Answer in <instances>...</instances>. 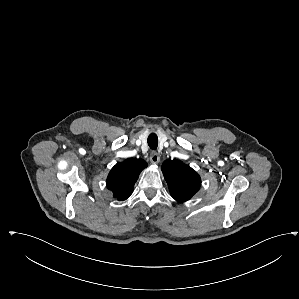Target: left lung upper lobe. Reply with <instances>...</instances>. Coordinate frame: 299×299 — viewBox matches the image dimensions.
I'll use <instances>...</instances> for the list:
<instances>
[{
    "instance_id": "obj_1",
    "label": "left lung upper lobe",
    "mask_w": 299,
    "mask_h": 299,
    "mask_svg": "<svg viewBox=\"0 0 299 299\" xmlns=\"http://www.w3.org/2000/svg\"><path fill=\"white\" fill-rule=\"evenodd\" d=\"M162 172L171 196L178 202L189 200L200 188L199 174L179 160L164 161Z\"/></svg>"
}]
</instances>
